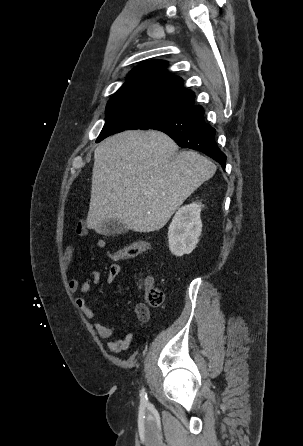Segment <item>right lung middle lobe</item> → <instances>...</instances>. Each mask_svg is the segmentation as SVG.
Listing matches in <instances>:
<instances>
[{
  "label": "right lung middle lobe",
  "instance_id": "1",
  "mask_svg": "<svg viewBox=\"0 0 303 446\" xmlns=\"http://www.w3.org/2000/svg\"><path fill=\"white\" fill-rule=\"evenodd\" d=\"M186 106L187 101L185 99L171 101L164 110H152L141 106H107L105 125L96 142L124 130L140 129L148 122Z\"/></svg>",
  "mask_w": 303,
  "mask_h": 446
}]
</instances>
